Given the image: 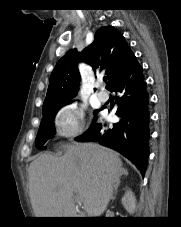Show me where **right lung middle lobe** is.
I'll use <instances>...</instances> for the list:
<instances>
[{
	"label": "right lung middle lobe",
	"instance_id": "1",
	"mask_svg": "<svg viewBox=\"0 0 181 227\" xmlns=\"http://www.w3.org/2000/svg\"><path fill=\"white\" fill-rule=\"evenodd\" d=\"M70 102L53 105L43 109V119L41 121L39 131L36 137V147L40 150H44L46 148L45 143L54 137L55 129H54V117L56 112L65 104ZM97 111L95 112V114Z\"/></svg>",
	"mask_w": 181,
	"mask_h": 227
}]
</instances>
